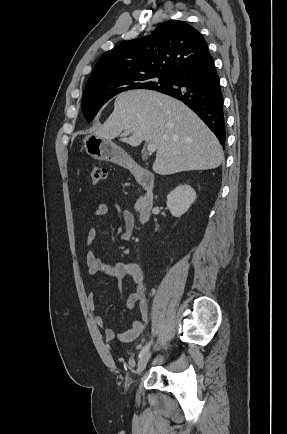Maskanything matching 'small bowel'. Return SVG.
<instances>
[{"label":"small bowel","mask_w":287,"mask_h":434,"mask_svg":"<svg viewBox=\"0 0 287 434\" xmlns=\"http://www.w3.org/2000/svg\"><path fill=\"white\" fill-rule=\"evenodd\" d=\"M111 212L114 213L117 221L116 235L123 241H128L134 228L133 214L120 206V204L110 199L107 203L97 205L94 211V216L97 218L105 217ZM96 230L90 228L86 235V240L91 245L96 240ZM87 271L90 276L101 274L106 278H110L117 283H120L125 276H130L133 282V291L128 295L126 307L128 309L138 306L140 317L134 320L127 330L117 334L112 328L106 326L105 319L102 316H95V323L98 327L104 329L106 340H118L122 343H130L134 341L143 331L149 318V307L146 298V287L141 266L132 261H120L116 263H106L98 258L93 252H89L86 256ZM88 304L92 311L95 310V297L91 293L88 295Z\"/></svg>","instance_id":"c3829d8e"}]
</instances>
